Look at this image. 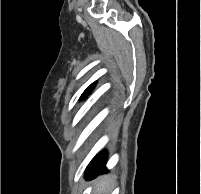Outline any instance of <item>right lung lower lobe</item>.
<instances>
[{"label": "right lung lower lobe", "instance_id": "right-lung-lower-lobe-1", "mask_svg": "<svg viewBox=\"0 0 201 194\" xmlns=\"http://www.w3.org/2000/svg\"><path fill=\"white\" fill-rule=\"evenodd\" d=\"M107 160V153L101 152L98 154L92 162L89 164L86 170V177L87 179H91L100 173L104 168Z\"/></svg>", "mask_w": 201, "mask_h": 194}]
</instances>
